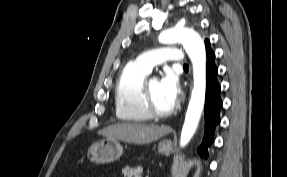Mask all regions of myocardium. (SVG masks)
Wrapping results in <instances>:
<instances>
[{"instance_id":"1","label":"myocardium","mask_w":287,"mask_h":177,"mask_svg":"<svg viewBox=\"0 0 287 177\" xmlns=\"http://www.w3.org/2000/svg\"><path fill=\"white\" fill-rule=\"evenodd\" d=\"M142 103L145 111L149 114L150 117L154 118H164L172 115L176 109L177 105L174 104L172 108H170L167 111H161L159 110L153 101L152 95L149 90V86L147 83L144 84L142 89Z\"/></svg>"}]
</instances>
